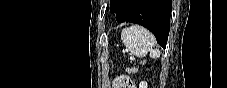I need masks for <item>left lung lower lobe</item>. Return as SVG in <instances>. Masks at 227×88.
Here are the masks:
<instances>
[{"instance_id": "left-lung-lower-lobe-1", "label": "left lung lower lobe", "mask_w": 227, "mask_h": 88, "mask_svg": "<svg viewBox=\"0 0 227 88\" xmlns=\"http://www.w3.org/2000/svg\"><path fill=\"white\" fill-rule=\"evenodd\" d=\"M171 10V0H119L115 13L117 22H132L149 29L165 48Z\"/></svg>"}]
</instances>
